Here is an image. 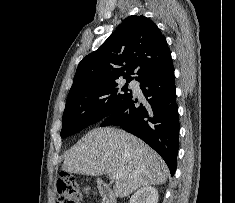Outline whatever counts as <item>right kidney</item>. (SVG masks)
<instances>
[{"mask_svg":"<svg viewBox=\"0 0 235 203\" xmlns=\"http://www.w3.org/2000/svg\"><path fill=\"white\" fill-rule=\"evenodd\" d=\"M158 197L156 188L145 186L132 195L129 203H158Z\"/></svg>","mask_w":235,"mask_h":203,"instance_id":"1","label":"right kidney"}]
</instances>
